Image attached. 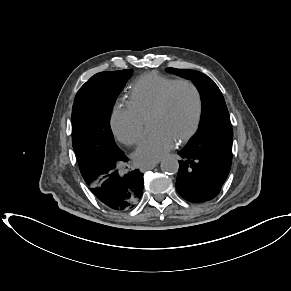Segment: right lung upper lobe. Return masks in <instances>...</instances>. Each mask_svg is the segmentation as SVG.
<instances>
[{
    "label": "right lung upper lobe",
    "mask_w": 291,
    "mask_h": 291,
    "mask_svg": "<svg viewBox=\"0 0 291 291\" xmlns=\"http://www.w3.org/2000/svg\"><path fill=\"white\" fill-rule=\"evenodd\" d=\"M86 183L89 185V186H92L93 183L90 181V180H87Z\"/></svg>",
    "instance_id": "right-lung-upper-lobe-1"
}]
</instances>
